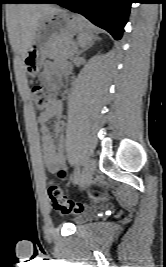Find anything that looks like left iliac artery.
<instances>
[{"mask_svg":"<svg viewBox=\"0 0 166 267\" xmlns=\"http://www.w3.org/2000/svg\"><path fill=\"white\" fill-rule=\"evenodd\" d=\"M80 165L77 164L74 170V174H73V183H77L80 179Z\"/></svg>","mask_w":166,"mask_h":267,"instance_id":"obj_1","label":"left iliac artery"}]
</instances>
